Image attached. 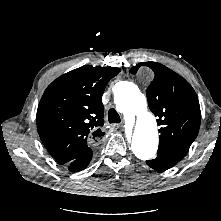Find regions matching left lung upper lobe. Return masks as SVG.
<instances>
[{"label": "left lung upper lobe", "mask_w": 221, "mask_h": 221, "mask_svg": "<svg viewBox=\"0 0 221 221\" xmlns=\"http://www.w3.org/2000/svg\"><path fill=\"white\" fill-rule=\"evenodd\" d=\"M141 65L150 67L155 77L146 90L150 110L160 125V150L185 155L197 137L201 112L192 86L166 66L156 62H143L131 68L135 74Z\"/></svg>", "instance_id": "left-lung-upper-lobe-1"}]
</instances>
